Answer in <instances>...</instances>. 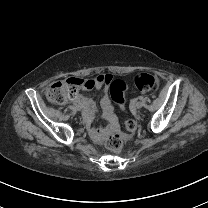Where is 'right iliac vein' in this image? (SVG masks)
<instances>
[{
  "label": "right iliac vein",
  "mask_w": 208,
  "mask_h": 208,
  "mask_svg": "<svg viewBox=\"0 0 208 208\" xmlns=\"http://www.w3.org/2000/svg\"><path fill=\"white\" fill-rule=\"evenodd\" d=\"M76 110H77V111H81V110H82V107L79 106V105H77V106H76Z\"/></svg>",
  "instance_id": "obj_1"
}]
</instances>
